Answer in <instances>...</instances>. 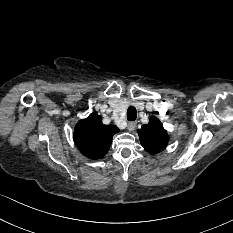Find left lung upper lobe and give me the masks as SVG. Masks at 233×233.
Returning a JSON list of instances; mask_svg holds the SVG:
<instances>
[{
	"instance_id": "5c2ea615",
	"label": "left lung upper lobe",
	"mask_w": 233,
	"mask_h": 233,
	"mask_svg": "<svg viewBox=\"0 0 233 233\" xmlns=\"http://www.w3.org/2000/svg\"><path fill=\"white\" fill-rule=\"evenodd\" d=\"M141 145L151 154L165 149L168 143V134L162 123L156 117H151L148 124L138 130Z\"/></svg>"
}]
</instances>
